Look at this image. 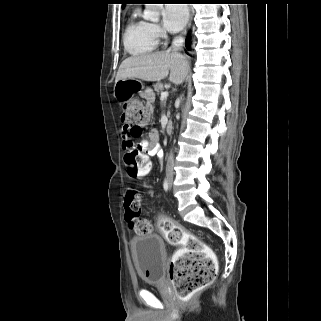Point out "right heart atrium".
<instances>
[{
  "mask_svg": "<svg viewBox=\"0 0 321 321\" xmlns=\"http://www.w3.org/2000/svg\"><path fill=\"white\" fill-rule=\"evenodd\" d=\"M151 31L159 38L163 35V31L158 24L150 23Z\"/></svg>",
  "mask_w": 321,
  "mask_h": 321,
  "instance_id": "1",
  "label": "right heart atrium"
}]
</instances>
